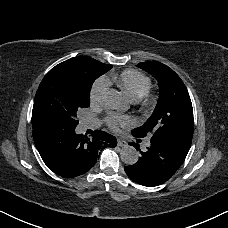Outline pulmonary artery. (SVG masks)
I'll return each mask as SVG.
<instances>
[{
    "mask_svg": "<svg viewBox=\"0 0 228 228\" xmlns=\"http://www.w3.org/2000/svg\"><path fill=\"white\" fill-rule=\"evenodd\" d=\"M150 144L149 140L145 143L146 146H148Z\"/></svg>",
    "mask_w": 228,
    "mask_h": 228,
    "instance_id": "e3ab8cb5",
    "label": "pulmonary artery"
}]
</instances>
